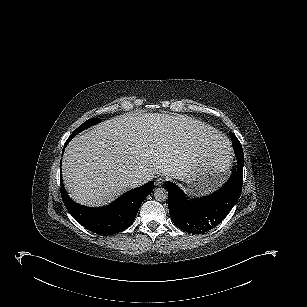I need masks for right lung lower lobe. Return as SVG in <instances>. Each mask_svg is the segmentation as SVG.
<instances>
[{"label":"right lung lower lobe","mask_w":307,"mask_h":307,"mask_svg":"<svg viewBox=\"0 0 307 307\" xmlns=\"http://www.w3.org/2000/svg\"><path fill=\"white\" fill-rule=\"evenodd\" d=\"M68 144L66 141L65 146ZM64 150V149H63ZM154 182L133 189L109 205L89 208L75 203L61 181V196L68 212L86 229L99 235H112L127 229L134 221L141 203L153 190Z\"/></svg>","instance_id":"obj_1"}]
</instances>
